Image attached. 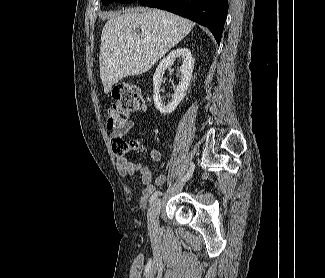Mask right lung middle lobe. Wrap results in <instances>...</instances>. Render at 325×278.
<instances>
[{"label": "right lung middle lobe", "mask_w": 325, "mask_h": 278, "mask_svg": "<svg viewBox=\"0 0 325 278\" xmlns=\"http://www.w3.org/2000/svg\"><path fill=\"white\" fill-rule=\"evenodd\" d=\"M101 1H102L103 5L106 6V5H108V4L112 3V2L131 3V2H134L136 0H101Z\"/></svg>", "instance_id": "1"}]
</instances>
